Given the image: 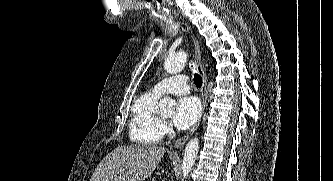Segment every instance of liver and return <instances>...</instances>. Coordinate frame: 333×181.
<instances>
[{"label":"liver","mask_w":333,"mask_h":181,"mask_svg":"<svg viewBox=\"0 0 333 181\" xmlns=\"http://www.w3.org/2000/svg\"><path fill=\"white\" fill-rule=\"evenodd\" d=\"M164 154L165 148L155 145L117 147L97 165L90 181H144Z\"/></svg>","instance_id":"liver-1"}]
</instances>
